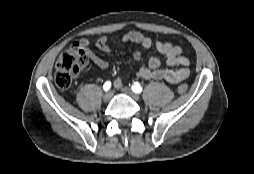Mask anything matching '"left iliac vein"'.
<instances>
[{"label":"left iliac vein","instance_id":"obj_1","mask_svg":"<svg viewBox=\"0 0 254 174\" xmlns=\"http://www.w3.org/2000/svg\"><path fill=\"white\" fill-rule=\"evenodd\" d=\"M122 92L128 96H130L133 100L138 101L140 99V96L134 92L131 91L128 87H123Z\"/></svg>","mask_w":254,"mask_h":174}]
</instances>
